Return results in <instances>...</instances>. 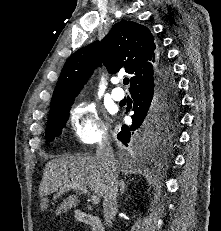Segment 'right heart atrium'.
Returning a JSON list of instances; mask_svg holds the SVG:
<instances>
[{"label": "right heart atrium", "instance_id": "obj_1", "mask_svg": "<svg viewBox=\"0 0 221 231\" xmlns=\"http://www.w3.org/2000/svg\"><path fill=\"white\" fill-rule=\"evenodd\" d=\"M75 136L85 144L100 142L107 137V128L90 102L78 103L71 115Z\"/></svg>", "mask_w": 221, "mask_h": 231}]
</instances>
